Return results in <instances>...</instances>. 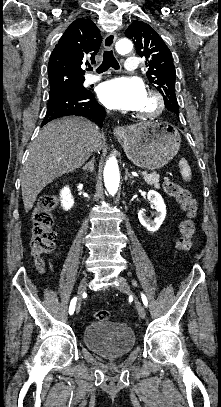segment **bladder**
Segmentation results:
<instances>
[{
  "mask_svg": "<svg viewBox=\"0 0 221 407\" xmlns=\"http://www.w3.org/2000/svg\"><path fill=\"white\" fill-rule=\"evenodd\" d=\"M86 347L105 358H117L129 353L135 343L133 329L124 324L100 322L84 328Z\"/></svg>",
  "mask_w": 221,
  "mask_h": 407,
  "instance_id": "31cf9c89",
  "label": "bladder"
}]
</instances>
